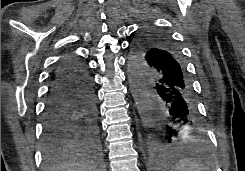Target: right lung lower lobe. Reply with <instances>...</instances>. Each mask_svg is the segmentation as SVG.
<instances>
[{"label": "right lung lower lobe", "instance_id": "1", "mask_svg": "<svg viewBox=\"0 0 245 171\" xmlns=\"http://www.w3.org/2000/svg\"><path fill=\"white\" fill-rule=\"evenodd\" d=\"M48 157L73 146L97 144L98 111L91 75L83 60L66 56L56 66L44 110Z\"/></svg>", "mask_w": 245, "mask_h": 171}]
</instances>
